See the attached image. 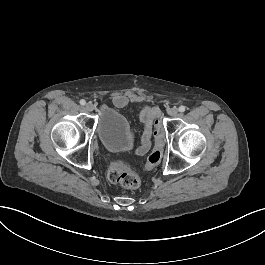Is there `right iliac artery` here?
<instances>
[{"label":"right iliac artery","mask_w":265,"mask_h":265,"mask_svg":"<svg viewBox=\"0 0 265 265\" xmlns=\"http://www.w3.org/2000/svg\"><path fill=\"white\" fill-rule=\"evenodd\" d=\"M80 104H81V105H85V104H86V101H85L84 99H81V100H80Z\"/></svg>","instance_id":"82829eb1"}]
</instances>
